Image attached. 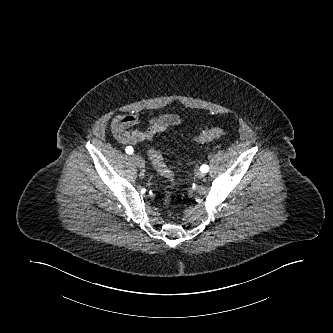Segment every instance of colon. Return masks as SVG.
Segmentation results:
<instances>
[{
	"instance_id": "colon-1",
	"label": "colon",
	"mask_w": 333,
	"mask_h": 333,
	"mask_svg": "<svg viewBox=\"0 0 333 333\" xmlns=\"http://www.w3.org/2000/svg\"><path fill=\"white\" fill-rule=\"evenodd\" d=\"M227 134V131L223 128H219V127H213L210 128L208 130L202 131L201 133H199L194 140L197 142H208L220 137H223ZM152 164L154 166V168L167 180H169L170 182H173L174 180V173L173 171L166 165L164 158L159 150V148L157 147H153L152 149H150L149 152ZM171 197H172V188L170 190H168L165 193V204H169L171 201Z\"/></svg>"
}]
</instances>
